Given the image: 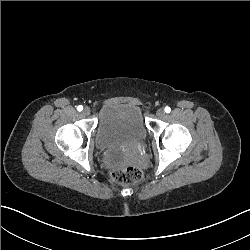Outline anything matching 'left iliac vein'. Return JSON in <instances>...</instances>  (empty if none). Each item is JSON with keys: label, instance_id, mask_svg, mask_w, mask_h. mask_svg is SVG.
I'll return each mask as SVG.
<instances>
[{"label": "left iliac vein", "instance_id": "4c4485c4", "mask_svg": "<svg viewBox=\"0 0 250 250\" xmlns=\"http://www.w3.org/2000/svg\"><path fill=\"white\" fill-rule=\"evenodd\" d=\"M156 115L158 116V118L162 119L165 116V112L163 109H159L157 110Z\"/></svg>", "mask_w": 250, "mask_h": 250}]
</instances>
